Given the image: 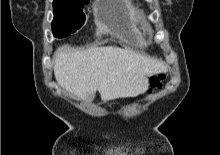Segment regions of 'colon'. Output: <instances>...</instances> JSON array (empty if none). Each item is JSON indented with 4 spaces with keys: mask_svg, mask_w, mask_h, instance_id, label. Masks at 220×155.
<instances>
[{
    "mask_svg": "<svg viewBox=\"0 0 220 155\" xmlns=\"http://www.w3.org/2000/svg\"><path fill=\"white\" fill-rule=\"evenodd\" d=\"M165 79L164 74H159L150 78V88L149 91H153L162 86V82Z\"/></svg>",
    "mask_w": 220,
    "mask_h": 155,
    "instance_id": "5ec220e1",
    "label": "colon"
}]
</instances>
